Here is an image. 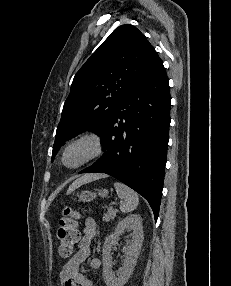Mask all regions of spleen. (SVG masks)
Here are the masks:
<instances>
[{"label": "spleen", "instance_id": "3e777b00", "mask_svg": "<svg viewBox=\"0 0 231 286\" xmlns=\"http://www.w3.org/2000/svg\"><path fill=\"white\" fill-rule=\"evenodd\" d=\"M114 187L116 189L118 197L122 200V203L120 205V210L123 213H129L132 212L134 209H136L139 203V198L137 193L128 186L120 182H115Z\"/></svg>", "mask_w": 231, "mask_h": 286}]
</instances>
